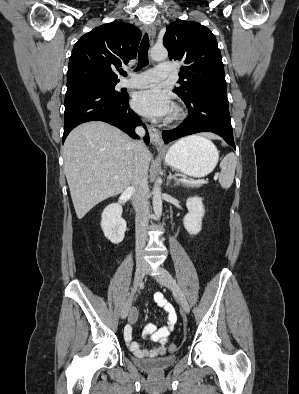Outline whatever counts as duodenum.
Wrapping results in <instances>:
<instances>
[{
  "label": "duodenum",
  "instance_id": "duodenum-1",
  "mask_svg": "<svg viewBox=\"0 0 299 394\" xmlns=\"http://www.w3.org/2000/svg\"><path fill=\"white\" fill-rule=\"evenodd\" d=\"M134 189L132 187H128L120 196L118 202L121 205L126 204V202L132 197Z\"/></svg>",
  "mask_w": 299,
  "mask_h": 394
}]
</instances>
